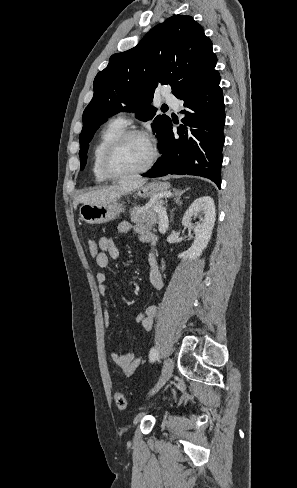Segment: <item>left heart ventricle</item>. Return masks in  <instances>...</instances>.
Instances as JSON below:
<instances>
[{"label": "left heart ventricle", "mask_w": 297, "mask_h": 488, "mask_svg": "<svg viewBox=\"0 0 297 488\" xmlns=\"http://www.w3.org/2000/svg\"><path fill=\"white\" fill-rule=\"evenodd\" d=\"M151 143L144 137H132L113 154L111 168L116 173H128L143 167L151 157Z\"/></svg>", "instance_id": "b2bd125f"}]
</instances>
